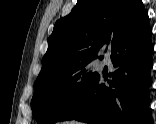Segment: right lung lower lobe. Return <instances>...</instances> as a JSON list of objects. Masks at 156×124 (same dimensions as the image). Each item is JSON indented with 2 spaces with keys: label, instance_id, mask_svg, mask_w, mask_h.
Here are the masks:
<instances>
[{
  "label": "right lung lower lobe",
  "instance_id": "obj_1",
  "mask_svg": "<svg viewBox=\"0 0 156 124\" xmlns=\"http://www.w3.org/2000/svg\"><path fill=\"white\" fill-rule=\"evenodd\" d=\"M151 34L148 25L144 29L124 33L109 46L116 68L109 73L113 78L107 81L109 86L105 85L108 75L98 74L59 121L75 119L91 124H152L148 111L153 51Z\"/></svg>",
  "mask_w": 156,
  "mask_h": 124
}]
</instances>
